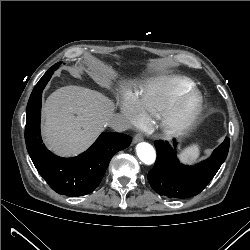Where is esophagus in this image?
Wrapping results in <instances>:
<instances>
[{"label":"esophagus","mask_w":250,"mask_h":250,"mask_svg":"<svg viewBox=\"0 0 250 250\" xmlns=\"http://www.w3.org/2000/svg\"><path fill=\"white\" fill-rule=\"evenodd\" d=\"M143 140V136L141 134H136L134 137H133V143H138V142H141Z\"/></svg>","instance_id":"34e87169"}]
</instances>
